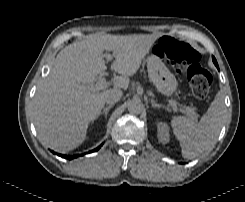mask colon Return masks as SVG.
Here are the masks:
<instances>
[{
    "label": "colon",
    "mask_w": 245,
    "mask_h": 202,
    "mask_svg": "<svg viewBox=\"0 0 245 202\" xmlns=\"http://www.w3.org/2000/svg\"><path fill=\"white\" fill-rule=\"evenodd\" d=\"M163 57L181 73H186L191 90L198 98H204L211 87L212 76L200 66L199 53L188 44L172 36L158 41Z\"/></svg>",
    "instance_id": "1"
}]
</instances>
